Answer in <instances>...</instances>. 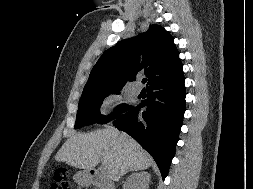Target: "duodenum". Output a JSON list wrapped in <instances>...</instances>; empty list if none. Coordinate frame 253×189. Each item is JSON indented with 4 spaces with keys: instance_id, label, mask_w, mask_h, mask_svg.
I'll return each instance as SVG.
<instances>
[{
    "instance_id": "duodenum-1",
    "label": "duodenum",
    "mask_w": 253,
    "mask_h": 189,
    "mask_svg": "<svg viewBox=\"0 0 253 189\" xmlns=\"http://www.w3.org/2000/svg\"><path fill=\"white\" fill-rule=\"evenodd\" d=\"M80 183L84 186H96L99 189H112L107 176L96 169L87 170L80 175Z\"/></svg>"
}]
</instances>
